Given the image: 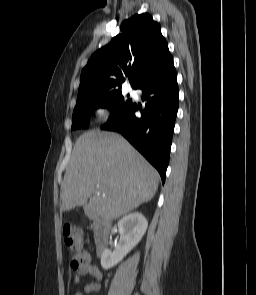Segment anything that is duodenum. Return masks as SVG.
<instances>
[{
  "instance_id": "obj_1",
  "label": "duodenum",
  "mask_w": 256,
  "mask_h": 295,
  "mask_svg": "<svg viewBox=\"0 0 256 295\" xmlns=\"http://www.w3.org/2000/svg\"><path fill=\"white\" fill-rule=\"evenodd\" d=\"M86 209L94 221V242L96 249L99 253H102L109 242L110 223L105 217L97 215L91 206L87 205Z\"/></svg>"
}]
</instances>
